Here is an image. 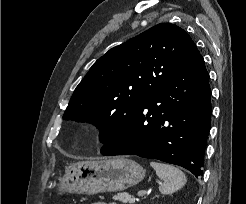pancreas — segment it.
I'll list each match as a JSON object with an SVG mask.
<instances>
[{
    "mask_svg": "<svg viewBox=\"0 0 246 204\" xmlns=\"http://www.w3.org/2000/svg\"><path fill=\"white\" fill-rule=\"evenodd\" d=\"M113 199L122 203H129V204L135 203V198L127 193H119L117 195H114Z\"/></svg>",
    "mask_w": 246,
    "mask_h": 204,
    "instance_id": "cf45deb5",
    "label": "pancreas"
}]
</instances>
